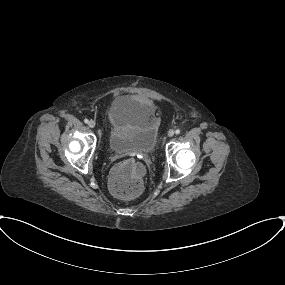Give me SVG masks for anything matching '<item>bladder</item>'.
<instances>
[{
	"mask_svg": "<svg viewBox=\"0 0 285 285\" xmlns=\"http://www.w3.org/2000/svg\"><path fill=\"white\" fill-rule=\"evenodd\" d=\"M127 104L133 108V113L137 117V123L124 130H112L107 139V148L111 153H130L140 154L151 153L156 146L157 133L155 126L147 122L144 113L147 107L139 102H131L128 97H121L117 102Z\"/></svg>",
	"mask_w": 285,
	"mask_h": 285,
	"instance_id": "bladder-1",
	"label": "bladder"
}]
</instances>
